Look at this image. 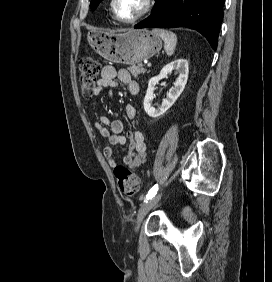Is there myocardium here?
Masks as SVG:
<instances>
[{"mask_svg":"<svg viewBox=\"0 0 272 282\" xmlns=\"http://www.w3.org/2000/svg\"><path fill=\"white\" fill-rule=\"evenodd\" d=\"M116 2L117 0H111L110 2V9H111V12L114 18L119 22L126 23V24H132V23H136L137 21L141 20L151 11V9L154 6L155 0H146L144 9L139 14H137L136 16L130 19H123L117 14L116 8H115Z\"/></svg>","mask_w":272,"mask_h":282,"instance_id":"myocardium-1","label":"myocardium"}]
</instances>
